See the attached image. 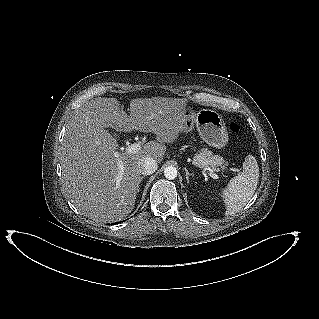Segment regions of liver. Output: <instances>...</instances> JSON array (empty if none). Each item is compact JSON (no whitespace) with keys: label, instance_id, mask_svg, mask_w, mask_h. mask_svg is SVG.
<instances>
[{"label":"liver","instance_id":"obj_1","mask_svg":"<svg viewBox=\"0 0 319 319\" xmlns=\"http://www.w3.org/2000/svg\"><path fill=\"white\" fill-rule=\"evenodd\" d=\"M185 99L137 98L130 101V116L116 98H95L85 102L66 128L60 147L62 180L75 207L97 222H116L134 208L142 180L139 162L151 157L163 160L165 143H172L182 131ZM119 132L134 129L154 133L157 141L146 143L135 154H120L118 143L106 128ZM124 175L118 182V162Z\"/></svg>","mask_w":319,"mask_h":319}]
</instances>
